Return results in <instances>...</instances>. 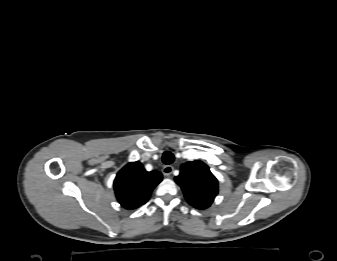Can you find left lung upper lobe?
Masks as SVG:
<instances>
[{
  "label": "left lung upper lobe",
  "mask_w": 337,
  "mask_h": 261,
  "mask_svg": "<svg viewBox=\"0 0 337 261\" xmlns=\"http://www.w3.org/2000/svg\"><path fill=\"white\" fill-rule=\"evenodd\" d=\"M175 182L181 187L187 202L196 209L208 208L218 193L217 179L199 160L182 164Z\"/></svg>",
  "instance_id": "5c2ea615"
}]
</instances>
